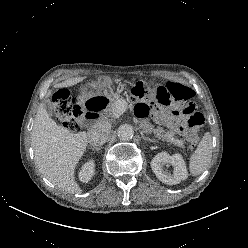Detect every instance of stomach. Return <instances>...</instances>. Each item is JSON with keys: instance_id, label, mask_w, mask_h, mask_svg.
<instances>
[{"instance_id": "1", "label": "stomach", "mask_w": 248, "mask_h": 248, "mask_svg": "<svg viewBox=\"0 0 248 248\" xmlns=\"http://www.w3.org/2000/svg\"><path fill=\"white\" fill-rule=\"evenodd\" d=\"M110 79L101 75L79 85L77 93L84 109L96 114L110 111L112 102L108 93Z\"/></svg>"}]
</instances>
